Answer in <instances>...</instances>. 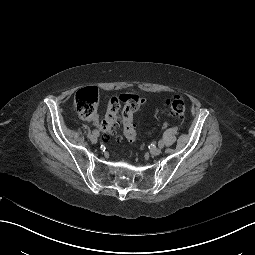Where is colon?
<instances>
[{
	"instance_id": "1",
	"label": "colon",
	"mask_w": 255,
	"mask_h": 255,
	"mask_svg": "<svg viewBox=\"0 0 255 255\" xmlns=\"http://www.w3.org/2000/svg\"><path fill=\"white\" fill-rule=\"evenodd\" d=\"M144 100L135 93L121 94L112 97L108 103L107 111L101 122L104 137L109 139L118 125L122 122L123 132L127 140L135 142L137 132L134 124V114L143 104ZM98 91L93 87L79 90L74 97V106L78 114L84 119H94L97 114ZM123 103V107L121 106ZM171 115L177 120L185 116V104L180 96H173L167 102Z\"/></svg>"
}]
</instances>
